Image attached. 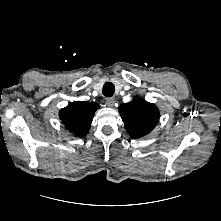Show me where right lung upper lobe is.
Returning a JSON list of instances; mask_svg holds the SVG:
<instances>
[{
	"label": "right lung upper lobe",
	"instance_id": "cb5924a9",
	"mask_svg": "<svg viewBox=\"0 0 221 221\" xmlns=\"http://www.w3.org/2000/svg\"><path fill=\"white\" fill-rule=\"evenodd\" d=\"M99 105L94 102H73L59 112L65 128L76 136H85L90 129L94 113Z\"/></svg>",
	"mask_w": 221,
	"mask_h": 221
}]
</instances>
